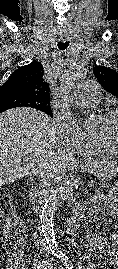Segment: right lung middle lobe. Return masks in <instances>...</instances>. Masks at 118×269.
<instances>
[{"mask_svg": "<svg viewBox=\"0 0 118 269\" xmlns=\"http://www.w3.org/2000/svg\"><path fill=\"white\" fill-rule=\"evenodd\" d=\"M15 107H31L41 110L52 116V111L49 103H40L34 99L20 94H5L0 97V113Z\"/></svg>", "mask_w": 118, "mask_h": 269, "instance_id": "dd1d6c3e", "label": "right lung middle lobe"}]
</instances>
